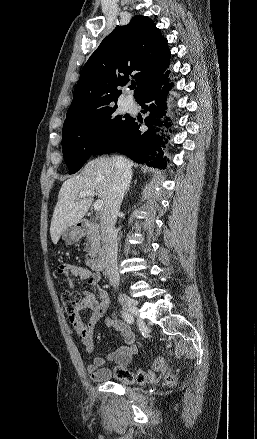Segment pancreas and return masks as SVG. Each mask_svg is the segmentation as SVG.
Wrapping results in <instances>:
<instances>
[{"label":"pancreas","instance_id":"pancreas-1","mask_svg":"<svg viewBox=\"0 0 257 439\" xmlns=\"http://www.w3.org/2000/svg\"><path fill=\"white\" fill-rule=\"evenodd\" d=\"M95 236L96 234L94 232H91L87 235V243L85 251L88 253L86 256V265L90 266L92 260L91 257L94 256L97 253V248L95 245ZM88 255L90 256V259L88 258Z\"/></svg>","mask_w":257,"mask_h":439}]
</instances>
